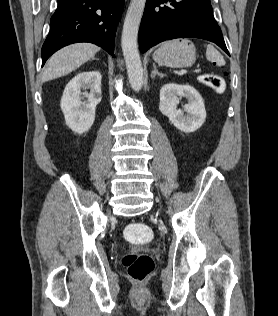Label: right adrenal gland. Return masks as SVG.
<instances>
[{
  "mask_svg": "<svg viewBox=\"0 0 278 316\" xmlns=\"http://www.w3.org/2000/svg\"><path fill=\"white\" fill-rule=\"evenodd\" d=\"M94 60H98L97 58H93Z\"/></svg>",
  "mask_w": 278,
  "mask_h": 316,
  "instance_id": "1",
  "label": "right adrenal gland"
}]
</instances>
